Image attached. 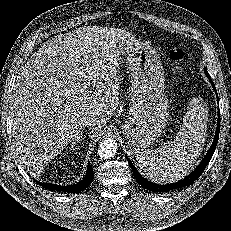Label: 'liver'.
Returning <instances> with one entry per match:
<instances>
[{
    "label": "liver",
    "mask_w": 231,
    "mask_h": 231,
    "mask_svg": "<svg viewBox=\"0 0 231 231\" xmlns=\"http://www.w3.org/2000/svg\"><path fill=\"white\" fill-rule=\"evenodd\" d=\"M130 33L83 26L46 41L21 68L11 96L12 143L30 170L43 167L84 128L99 132L119 105L118 48ZM94 90V91H93Z\"/></svg>",
    "instance_id": "6515ba94"
}]
</instances>
